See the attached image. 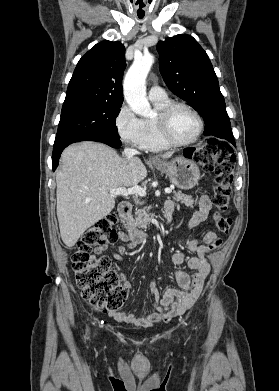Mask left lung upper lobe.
Wrapping results in <instances>:
<instances>
[{"instance_id": "5c2ea615", "label": "left lung upper lobe", "mask_w": 279, "mask_h": 391, "mask_svg": "<svg viewBox=\"0 0 279 391\" xmlns=\"http://www.w3.org/2000/svg\"><path fill=\"white\" fill-rule=\"evenodd\" d=\"M159 68L168 88L204 119V135L232 136L224 97L208 55L197 41L182 34L157 44Z\"/></svg>"}]
</instances>
